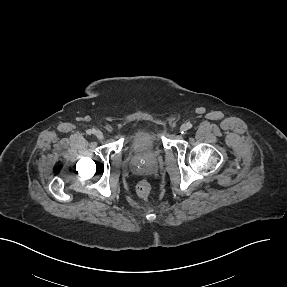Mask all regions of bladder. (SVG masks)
<instances>
[{
	"label": "bladder",
	"mask_w": 287,
	"mask_h": 287,
	"mask_svg": "<svg viewBox=\"0 0 287 287\" xmlns=\"http://www.w3.org/2000/svg\"><path fill=\"white\" fill-rule=\"evenodd\" d=\"M160 145L158 135L147 127H140L126 140V150L131 154H147L157 149Z\"/></svg>",
	"instance_id": "31cf9c89"
}]
</instances>
